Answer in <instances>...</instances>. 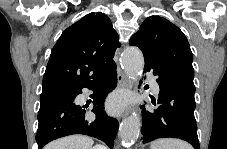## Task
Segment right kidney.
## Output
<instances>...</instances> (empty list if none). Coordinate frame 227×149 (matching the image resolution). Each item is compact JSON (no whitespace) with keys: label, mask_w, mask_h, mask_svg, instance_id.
Here are the masks:
<instances>
[{"label":"right kidney","mask_w":227,"mask_h":149,"mask_svg":"<svg viewBox=\"0 0 227 149\" xmlns=\"http://www.w3.org/2000/svg\"><path fill=\"white\" fill-rule=\"evenodd\" d=\"M93 149H103V147L102 146H95Z\"/></svg>","instance_id":"ca27d5eb"}]
</instances>
